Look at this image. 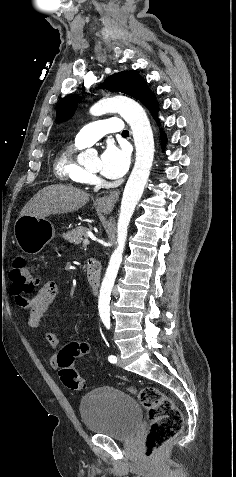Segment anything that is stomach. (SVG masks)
<instances>
[{"mask_svg":"<svg viewBox=\"0 0 236 477\" xmlns=\"http://www.w3.org/2000/svg\"><path fill=\"white\" fill-rule=\"evenodd\" d=\"M104 213L110 209L98 205ZM14 236L20 249L28 255L38 254L55 237V228L46 218L20 216L14 225Z\"/></svg>","mask_w":236,"mask_h":477,"instance_id":"obj_1","label":"stomach"}]
</instances>
